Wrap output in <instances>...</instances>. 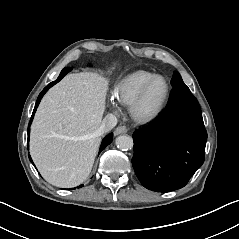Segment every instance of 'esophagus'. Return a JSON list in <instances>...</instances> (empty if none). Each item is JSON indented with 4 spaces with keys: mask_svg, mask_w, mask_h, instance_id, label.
Masks as SVG:
<instances>
[{
    "mask_svg": "<svg viewBox=\"0 0 239 239\" xmlns=\"http://www.w3.org/2000/svg\"><path fill=\"white\" fill-rule=\"evenodd\" d=\"M127 131H128V129L125 126H118L114 131V135L126 133Z\"/></svg>",
    "mask_w": 239,
    "mask_h": 239,
    "instance_id": "obj_1",
    "label": "esophagus"
}]
</instances>
